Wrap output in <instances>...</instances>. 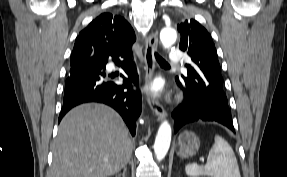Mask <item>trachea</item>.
I'll list each match as a JSON object with an SVG mask.
<instances>
[{"label":"trachea","instance_id":"trachea-1","mask_svg":"<svg viewBox=\"0 0 287 177\" xmlns=\"http://www.w3.org/2000/svg\"><path fill=\"white\" fill-rule=\"evenodd\" d=\"M155 58L157 60V62L162 65V66H169V64L161 57L158 55V53L155 52Z\"/></svg>","mask_w":287,"mask_h":177}]
</instances>
